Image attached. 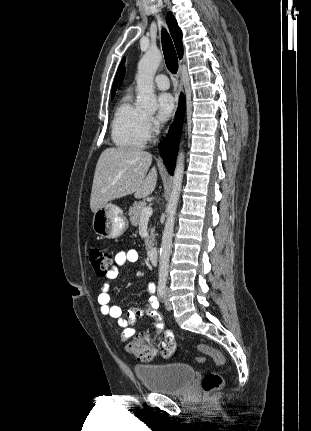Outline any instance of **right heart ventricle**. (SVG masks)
Wrapping results in <instances>:
<instances>
[{
  "label": "right heart ventricle",
  "instance_id": "1",
  "mask_svg": "<svg viewBox=\"0 0 311 431\" xmlns=\"http://www.w3.org/2000/svg\"><path fill=\"white\" fill-rule=\"evenodd\" d=\"M147 115L125 95L114 110L111 139L118 149L137 150L145 146L149 137Z\"/></svg>",
  "mask_w": 311,
  "mask_h": 431
}]
</instances>
